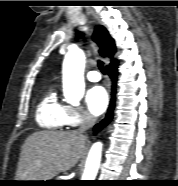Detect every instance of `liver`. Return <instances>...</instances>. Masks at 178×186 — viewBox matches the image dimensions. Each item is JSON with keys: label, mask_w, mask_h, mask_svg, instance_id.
I'll list each match as a JSON object with an SVG mask.
<instances>
[{"label": "liver", "mask_w": 178, "mask_h": 186, "mask_svg": "<svg viewBox=\"0 0 178 186\" xmlns=\"http://www.w3.org/2000/svg\"><path fill=\"white\" fill-rule=\"evenodd\" d=\"M87 138L78 131H38L22 147L17 181L49 180L74 167L85 150Z\"/></svg>", "instance_id": "6515ba94"}]
</instances>
